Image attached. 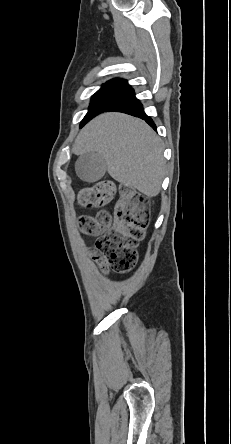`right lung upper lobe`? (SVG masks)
Masks as SVG:
<instances>
[{"label": "right lung upper lobe", "mask_w": 231, "mask_h": 444, "mask_svg": "<svg viewBox=\"0 0 231 444\" xmlns=\"http://www.w3.org/2000/svg\"><path fill=\"white\" fill-rule=\"evenodd\" d=\"M103 86H111V87H116V88H119V89H123V90H126L129 94L134 91L128 85L127 81H125L123 79H112V80L108 81L106 84H104Z\"/></svg>", "instance_id": "obj_1"}]
</instances>
